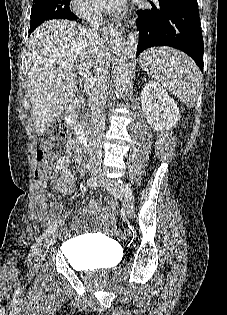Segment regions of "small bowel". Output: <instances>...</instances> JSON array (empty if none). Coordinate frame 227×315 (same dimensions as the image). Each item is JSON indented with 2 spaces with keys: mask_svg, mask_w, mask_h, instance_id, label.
I'll list each match as a JSON object with an SVG mask.
<instances>
[{
  "mask_svg": "<svg viewBox=\"0 0 227 315\" xmlns=\"http://www.w3.org/2000/svg\"><path fill=\"white\" fill-rule=\"evenodd\" d=\"M71 158L76 166H80L83 162L82 151L75 144H71L66 153L57 159L56 175L50 181L52 192L46 190V185L43 182H38L35 185V195L39 205L44 210L42 218L46 222L53 221L54 218L62 212L61 205L51 202L49 199L56 193L67 196L73 195V191L68 187L74 180V175L69 169ZM81 212L96 215L100 221H107L113 218L115 214V206L113 204L102 206L99 201L91 200L86 207L82 208ZM57 220L61 219L58 218ZM75 222H78V219H76Z\"/></svg>",
  "mask_w": 227,
  "mask_h": 315,
  "instance_id": "small-bowel-1",
  "label": "small bowel"
}]
</instances>
